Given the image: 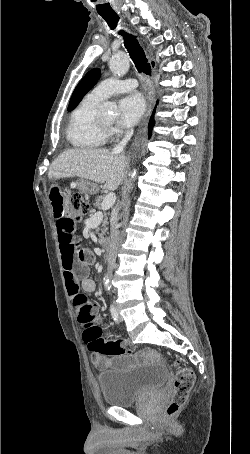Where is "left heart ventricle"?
Returning a JSON list of instances; mask_svg holds the SVG:
<instances>
[{
    "label": "left heart ventricle",
    "mask_w": 250,
    "mask_h": 454,
    "mask_svg": "<svg viewBox=\"0 0 250 454\" xmlns=\"http://www.w3.org/2000/svg\"><path fill=\"white\" fill-rule=\"evenodd\" d=\"M103 122L106 123V124H111L112 123V120L111 119H108V118H102Z\"/></svg>",
    "instance_id": "1"
}]
</instances>
